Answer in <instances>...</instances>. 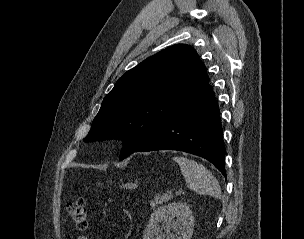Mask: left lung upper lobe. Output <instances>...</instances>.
<instances>
[{"instance_id":"1","label":"left lung upper lobe","mask_w":304,"mask_h":239,"mask_svg":"<svg viewBox=\"0 0 304 239\" xmlns=\"http://www.w3.org/2000/svg\"><path fill=\"white\" fill-rule=\"evenodd\" d=\"M209 83L185 44L168 47L127 71L104 98L84 142L123 139L120 160L146 143Z\"/></svg>"}]
</instances>
